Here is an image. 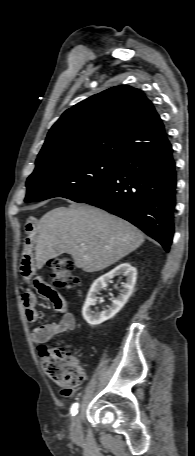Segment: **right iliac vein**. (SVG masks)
<instances>
[{
	"label": "right iliac vein",
	"mask_w": 195,
	"mask_h": 456,
	"mask_svg": "<svg viewBox=\"0 0 195 456\" xmlns=\"http://www.w3.org/2000/svg\"><path fill=\"white\" fill-rule=\"evenodd\" d=\"M71 436L74 440H80L82 438V429L79 415H76L72 420Z\"/></svg>",
	"instance_id": "right-iliac-vein-1"
}]
</instances>
